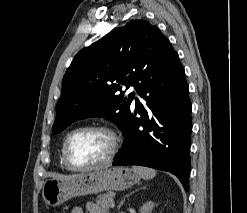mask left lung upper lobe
Instances as JSON below:
<instances>
[{"instance_id":"left-lung-upper-lobe-1","label":"left lung upper lobe","mask_w":247,"mask_h":213,"mask_svg":"<svg viewBox=\"0 0 247 213\" xmlns=\"http://www.w3.org/2000/svg\"><path fill=\"white\" fill-rule=\"evenodd\" d=\"M173 52L161 31L144 20H131L82 49L63 77L53 133L93 116L105 117L123 130L134 93L124 98L121 84L137 89L152 67Z\"/></svg>"}]
</instances>
